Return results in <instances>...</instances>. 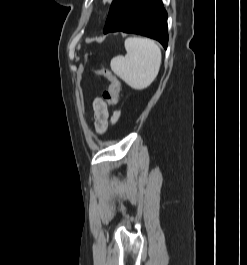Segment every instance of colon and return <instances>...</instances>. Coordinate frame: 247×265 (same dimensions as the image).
<instances>
[{
  "label": "colon",
  "instance_id": "colon-1",
  "mask_svg": "<svg viewBox=\"0 0 247 265\" xmlns=\"http://www.w3.org/2000/svg\"><path fill=\"white\" fill-rule=\"evenodd\" d=\"M96 74L103 76L108 81V87L103 92V100L108 105H114L118 101L120 93V82L109 70L100 67L95 70Z\"/></svg>",
  "mask_w": 247,
  "mask_h": 265
}]
</instances>
